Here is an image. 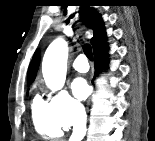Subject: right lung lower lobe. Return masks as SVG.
Returning <instances> with one entry per match:
<instances>
[{
  "label": "right lung lower lobe",
  "mask_w": 155,
  "mask_h": 141,
  "mask_svg": "<svg viewBox=\"0 0 155 141\" xmlns=\"http://www.w3.org/2000/svg\"><path fill=\"white\" fill-rule=\"evenodd\" d=\"M106 34L105 32L97 39V41L92 45L95 57V66L99 68L96 74L101 70V65L104 62V58L107 56V45H106Z\"/></svg>",
  "instance_id": "98d812e1"
}]
</instances>
